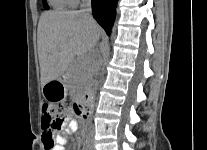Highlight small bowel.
<instances>
[{
  "instance_id": "small-bowel-1",
  "label": "small bowel",
  "mask_w": 207,
  "mask_h": 150,
  "mask_svg": "<svg viewBox=\"0 0 207 150\" xmlns=\"http://www.w3.org/2000/svg\"><path fill=\"white\" fill-rule=\"evenodd\" d=\"M77 129H78V122L75 119H69L63 133L53 134L52 138L54 141V145L50 147L49 150H66L65 144L67 142V136L71 135ZM44 139L45 138L42 139L43 144H44Z\"/></svg>"
}]
</instances>
